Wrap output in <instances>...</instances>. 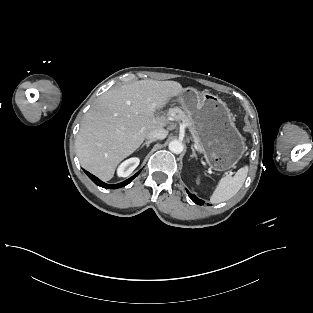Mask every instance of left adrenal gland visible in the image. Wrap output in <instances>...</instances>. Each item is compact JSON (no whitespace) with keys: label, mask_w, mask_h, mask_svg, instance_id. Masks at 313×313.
<instances>
[{"label":"left adrenal gland","mask_w":313,"mask_h":313,"mask_svg":"<svg viewBox=\"0 0 313 313\" xmlns=\"http://www.w3.org/2000/svg\"><path fill=\"white\" fill-rule=\"evenodd\" d=\"M191 149H192V154L190 155L191 158H197V155H196V152H195V149L193 148V146H191Z\"/></svg>","instance_id":"1"}]
</instances>
